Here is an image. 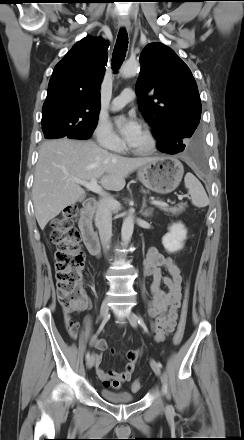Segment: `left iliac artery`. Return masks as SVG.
Segmentation results:
<instances>
[{"label": "left iliac artery", "mask_w": 244, "mask_h": 440, "mask_svg": "<svg viewBox=\"0 0 244 440\" xmlns=\"http://www.w3.org/2000/svg\"><path fill=\"white\" fill-rule=\"evenodd\" d=\"M138 323L140 324V326L144 330H147V327H146L145 322H144L143 318L141 317V315H138ZM157 365L159 368H162V364L160 362H158Z\"/></svg>", "instance_id": "obj_1"}]
</instances>
